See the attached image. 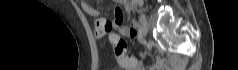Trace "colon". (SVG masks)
I'll return each instance as SVG.
<instances>
[{"label":"colon","instance_id":"5ec220e1","mask_svg":"<svg viewBox=\"0 0 238 70\" xmlns=\"http://www.w3.org/2000/svg\"><path fill=\"white\" fill-rule=\"evenodd\" d=\"M130 38H134V33H122L121 36L119 33H112L110 36L111 44L114 47V53L120 63V65L126 70H135L136 69V60L132 56L126 55V41H129Z\"/></svg>","mask_w":238,"mask_h":70}]
</instances>
